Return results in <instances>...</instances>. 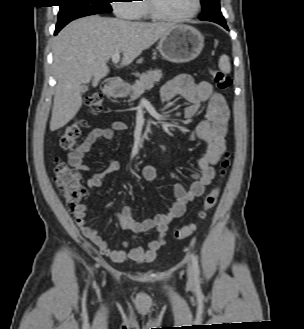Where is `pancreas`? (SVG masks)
<instances>
[{
	"instance_id": "cf45deb5",
	"label": "pancreas",
	"mask_w": 304,
	"mask_h": 329,
	"mask_svg": "<svg viewBox=\"0 0 304 329\" xmlns=\"http://www.w3.org/2000/svg\"><path fill=\"white\" fill-rule=\"evenodd\" d=\"M162 78L161 70H148L139 75V79L131 86L132 94L129 102L138 99L146 90L154 87V84L159 82Z\"/></svg>"
}]
</instances>
